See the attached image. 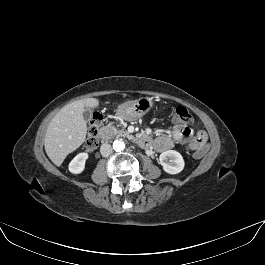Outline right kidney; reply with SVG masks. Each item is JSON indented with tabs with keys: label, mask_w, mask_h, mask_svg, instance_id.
I'll list each match as a JSON object with an SVG mask.
<instances>
[{
	"label": "right kidney",
	"mask_w": 265,
	"mask_h": 265,
	"mask_svg": "<svg viewBox=\"0 0 265 265\" xmlns=\"http://www.w3.org/2000/svg\"><path fill=\"white\" fill-rule=\"evenodd\" d=\"M88 159V154L83 152L76 155L69 163V171L73 174H80L85 169V162Z\"/></svg>",
	"instance_id": "obj_1"
}]
</instances>
